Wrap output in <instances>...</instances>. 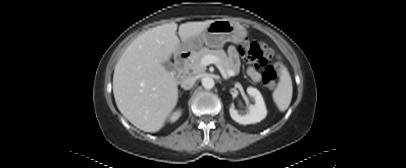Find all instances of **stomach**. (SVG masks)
Masks as SVG:
<instances>
[{
    "instance_id": "1",
    "label": "stomach",
    "mask_w": 406,
    "mask_h": 168,
    "mask_svg": "<svg viewBox=\"0 0 406 168\" xmlns=\"http://www.w3.org/2000/svg\"><path fill=\"white\" fill-rule=\"evenodd\" d=\"M246 36L247 31L239 22L218 19L214 20L200 35L184 42L178 51L186 50L194 53L203 45L219 48L226 42L241 43Z\"/></svg>"
}]
</instances>
